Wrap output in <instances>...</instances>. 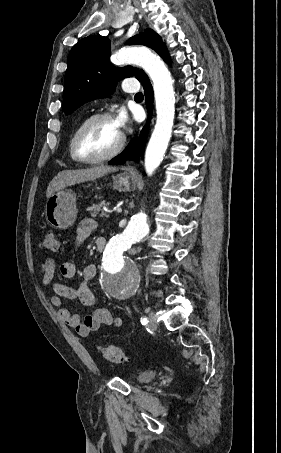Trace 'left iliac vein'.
<instances>
[{"label":"left iliac vein","mask_w":281,"mask_h":453,"mask_svg":"<svg viewBox=\"0 0 281 453\" xmlns=\"http://www.w3.org/2000/svg\"><path fill=\"white\" fill-rule=\"evenodd\" d=\"M149 317H150V331L153 332V330L156 328V317L153 316V313H150L149 314Z\"/></svg>","instance_id":"1"}]
</instances>
